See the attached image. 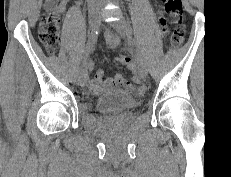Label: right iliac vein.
<instances>
[{
  "instance_id": "1",
  "label": "right iliac vein",
  "mask_w": 231,
  "mask_h": 177,
  "mask_svg": "<svg viewBox=\"0 0 231 177\" xmlns=\"http://www.w3.org/2000/svg\"><path fill=\"white\" fill-rule=\"evenodd\" d=\"M89 20L92 30L99 26L100 23V13L98 9H92L89 13ZM88 79V70L86 64H83L81 66V69L79 71L78 75V84L83 86L85 85L86 81Z\"/></svg>"
}]
</instances>
